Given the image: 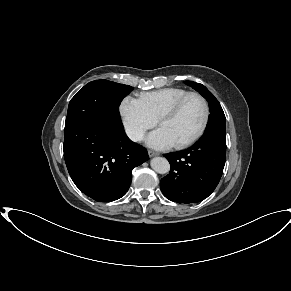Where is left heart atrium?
I'll use <instances>...</instances> for the list:
<instances>
[{
  "label": "left heart atrium",
  "instance_id": "obj_1",
  "mask_svg": "<svg viewBox=\"0 0 291 291\" xmlns=\"http://www.w3.org/2000/svg\"><path fill=\"white\" fill-rule=\"evenodd\" d=\"M146 143L148 146L155 149H167L174 145L173 141L161 128L150 133L146 138Z\"/></svg>",
  "mask_w": 291,
  "mask_h": 291
}]
</instances>
